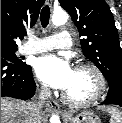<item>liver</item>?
Instances as JSON below:
<instances>
[{
	"label": "liver",
	"mask_w": 122,
	"mask_h": 123,
	"mask_svg": "<svg viewBox=\"0 0 122 123\" xmlns=\"http://www.w3.org/2000/svg\"><path fill=\"white\" fill-rule=\"evenodd\" d=\"M45 116H37L33 103L1 97V123H42Z\"/></svg>",
	"instance_id": "1"
}]
</instances>
